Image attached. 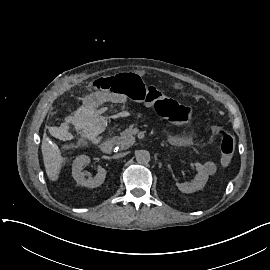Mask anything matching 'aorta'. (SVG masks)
<instances>
[{"label":"aorta","mask_w":270,"mask_h":270,"mask_svg":"<svg viewBox=\"0 0 270 270\" xmlns=\"http://www.w3.org/2000/svg\"><path fill=\"white\" fill-rule=\"evenodd\" d=\"M136 160L140 164H147L150 161V153L147 150H138Z\"/></svg>","instance_id":"1"}]
</instances>
